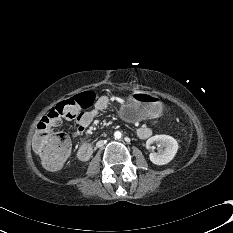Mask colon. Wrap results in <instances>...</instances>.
<instances>
[{
    "mask_svg": "<svg viewBox=\"0 0 233 233\" xmlns=\"http://www.w3.org/2000/svg\"><path fill=\"white\" fill-rule=\"evenodd\" d=\"M94 102L95 93L84 91L68 98L59 104L56 109L61 115H69L87 110ZM37 128L33 141L35 152L46 168L59 169L70 156V140L63 133L50 132L44 121L39 122Z\"/></svg>",
    "mask_w": 233,
    "mask_h": 233,
    "instance_id": "1",
    "label": "colon"
}]
</instances>
